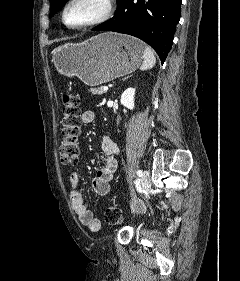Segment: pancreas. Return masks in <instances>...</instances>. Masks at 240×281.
<instances>
[{
	"label": "pancreas",
	"mask_w": 240,
	"mask_h": 281,
	"mask_svg": "<svg viewBox=\"0 0 240 281\" xmlns=\"http://www.w3.org/2000/svg\"><path fill=\"white\" fill-rule=\"evenodd\" d=\"M93 95H101L105 93L106 91L103 90V87H98V88H91L89 90Z\"/></svg>",
	"instance_id": "cf45deb5"
}]
</instances>
